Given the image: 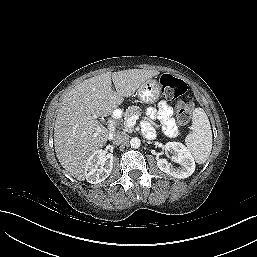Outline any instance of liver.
I'll return each mask as SVG.
<instances>
[{"label": "liver", "instance_id": "obj_1", "mask_svg": "<svg viewBox=\"0 0 257 257\" xmlns=\"http://www.w3.org/2000/svg\"><path fill=\"white\" fill-rule=\"evenodd\" d=\"M158 74L144 69L107 72L84 80L64 96L55 121L54 145L60 164L71 176L83 181L88 158L108 140L109 131L97 117L110 115L125 97Z\"/></svg>", "mask_w": 257, "mask_h": 257}]
</instances>
